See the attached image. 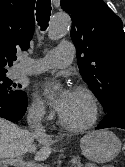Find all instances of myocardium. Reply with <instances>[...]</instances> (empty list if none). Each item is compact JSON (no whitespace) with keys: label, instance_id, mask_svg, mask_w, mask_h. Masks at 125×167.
<instances>
[{"label":"myocardium","instance_id":"myocardium-1","mask_svg":"<svg viewBox=\"0 0 125 167\" xmlns=\"http://www.w3.org/2000/svg\"><path fill=\"white\" fill-rule=\"evenodd\" d=\"M74 91L79 92L87 97V99L89 100V102L92 106V116L86 124L79 125V126L72 125V124L68 123L63 118L62 115L59 116V121H60L61 126L69 131L83 132V131L90 129L91 127H93L95 125V123L99 117V104H98L96 96L89 88L82 86V85H79V86L75 87Z\"/></svg>","mask_w":125,"mask_h":167}]
</instances>
